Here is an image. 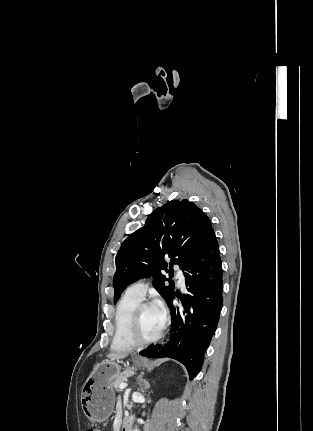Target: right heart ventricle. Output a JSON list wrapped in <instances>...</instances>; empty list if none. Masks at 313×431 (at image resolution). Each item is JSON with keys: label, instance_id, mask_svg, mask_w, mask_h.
Listing matches in <instances>:
<instances>
[{"label": "right heart ventricle", "instance_id": "obj_1", "mask_svg": "<svg viewBox=\"0 0 313 431\" xmlns=\"http://www.w3.org/2000/svg\"><path fill=\"white\" fill-rule=\"evenodd\" d=\"M142 299L125 293L118 301L114 315V335L111 349L114 352H129L136 346L129 337L133 312Z\"/></svg>", "mask_w": 313, "mask_h": 431}]
</instances>
